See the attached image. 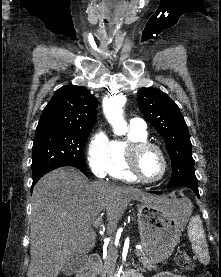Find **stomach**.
Instances as JSON below:
<instances>
[{
	"label": "stomach",
	"mask_w": 221,
	"mask_h": 277,
	"mask_svg": "<svg viewBox=\"0 0 221 277\" xmlns=\"http://www.w3.org/2000/svg\"><path fill=\"white\" fill-rule=\"evenodd\" d=\"M137 207L141 245L146 257L155 263L166 261L179 242L191 204L166 198V206L143 203Z\"/></svg>",
	"instance_id": "0dacf381"
}]
</instances>
